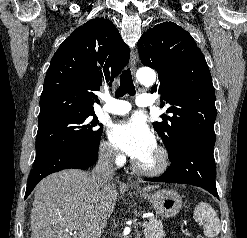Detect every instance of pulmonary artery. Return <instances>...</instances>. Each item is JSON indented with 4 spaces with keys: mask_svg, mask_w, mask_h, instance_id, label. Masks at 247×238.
Masks as SVG:
<instances>
[{
    "mask_svg": "<svg viewBox=\"0 0 247 238\" xmlns=\"http://www.w3.org/2000/svg\"><path fill=\"white\" fill-rule=\"evenodd\" d=\"M103 99L105 104L101 108L102 112L122 115L128 113L131 110V104L128 101L115 99L109 95H104ZM136 104L139 107H151L154 104V100L149 94H141L137 98Z\"/></svg>",
    "mask_w": 247,
    "mask_h": 238,
    "instance_id": "e3ab8cb5",
    "label": "pulmonary artery"
}]
</instances>
